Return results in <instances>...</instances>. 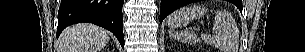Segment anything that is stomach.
Instances as JSON below:
<instances>
[{
  "mask_svg": "<svg viewBox=\"0 0 305 52\" xmlns=\"http://www.w3.org/2000/svg\"><path fill=\"white\" fill-rule=\"evenodd\" d=\"M207 13V8L204 5H192L182 7L173 12L166 20V23L171 28L186 27L194 19H200Z\"/></svg>",
  "mask_w": 305,
  "mask_h": 52,
  "instance_id": "stomach-1",
  "label": "stomach"
}]
</instances>
